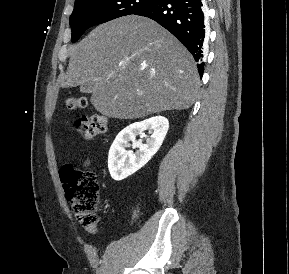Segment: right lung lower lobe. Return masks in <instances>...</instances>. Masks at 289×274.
I'll use <instances>...</instances> for the list:
<instances>
[{"instance_id": "98d812e1", "label": "right lung lower lobe", "mask_w": 289, "mask_h": 274, "mask_svg": "<svg viewBox=\"0 0 289 274\" xmlns=\"http://www.w3.org/2000/svg\"><path fill=\"white\" fill-rule=\"evenodd\" d=\"M135 15L153 19L180 40L198 63L202 77L205 39L203 0H156Z\"/></svg>"}]
</instances>
